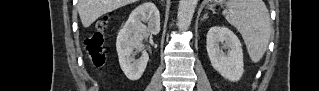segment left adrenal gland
<instances>
[{
    "instance_id": "1",
    "label": "left adrenal gland",
    "mask_w": 319,
    "mask_h": 91,
    "mask_svg": "<svg viewBox=\"0 0 319 91\" xmlns=\"http://www.w3.org/2000/svg\"><path fill=\"white\" fill-rule=\"evenodd\" d=\"M209 17H208V13H206L204 16H203V20H206V19H208Z\"/></svg>"
}]
</instances>
